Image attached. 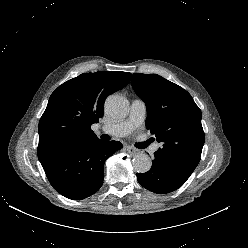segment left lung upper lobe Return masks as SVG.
<instances>
[{
    "label": "left lung upper lobe",
    "mask_w": 248,
    "mask_h": 248,
    "mask_svg": "<svg viewBox=\"0 0 248 248\" xmlns=\"http://www.w3.org/2000/svg\"><path fill=\"white\" fill-rule=\"evenodd\" d=\"M131 84L146 104V128L162 144L154 154L191 175L204 145L201 110L186 90L157 74L134 73Z\"/></svg>",
    "instance_id": "left-lung-upper-lobe-1"
}]
</instances>
